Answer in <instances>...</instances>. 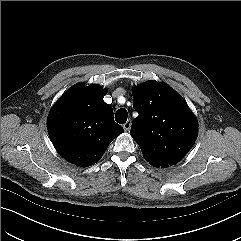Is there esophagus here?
<instances>
[{"label": "esophagus", "mask_w": 241, "mask_h": 241, "mask_svg": "<svg viewBox=\"0 0 241 241\" xmlns=\"http://www.w3.org/2000/svg\"><path fill=\"white\" fill-rule=\"evenodd\" d=\"M131 123H132V121L128 120L126 123L123 124V128H124L125 131H129L130 130Z\"/></svg>", "instance_id": "1"}]
</instances>
